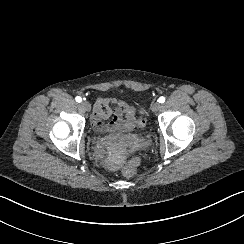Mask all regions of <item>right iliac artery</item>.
Here are the masks:
<instances>
[{"mask_svg":"<svg viewBox=\"0 0 244 244\" xmlns=\"http://www.w3.org/2000/svg\"><path fill=\"white\" fill-rule=\"evenodd\" d=\"M75 100H76V102L80 103V102L82 101V98L79 97V96H77V97L75 98Z\"/></svg>","mask_w":244,"mask_h":244,"instance_id":"obj_1","label":"right iliac artery"}]
</instances>
